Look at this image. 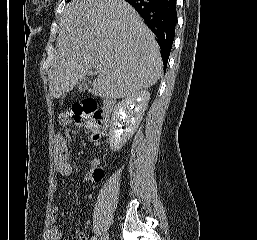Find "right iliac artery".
<instances>
[{
  "label": "right iliac artery",
  "mask_w": 257,
  "mask_h": 240,
  "mask_svg": "<svg viewBox=\"0 0 257 240\" xmlns=\"http://www.w3.org/2000/svg\"><path fill=\"white\" fill-rule=\"evenodd\" d=\"M91 240H97V236H93Z\"/></svg>",
  "instance_id": "obj_1"
}]
</instances>
